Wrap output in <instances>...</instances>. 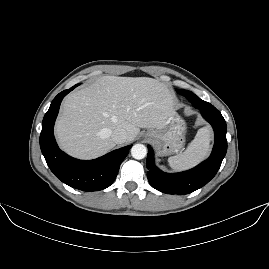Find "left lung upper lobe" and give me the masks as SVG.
<instances>
[{"mask_svg":"<svg viewBox=\"0 0 269 269\" xmlns=\"http://www.w3.org/2000/svg\"><path fill=\"white\" fill-rule=\"evenodd\" d=\"M180 95L185 96L193 105L197 102L203 103L205 101L201 100L199 97H197L195 94H193L190 91L186 90H178L177 91Z\"/></svg>","mask_w":269,"mask_h":269,"instance_id":"obj_1","label":"left lung upper lobe"}]
</instances>
